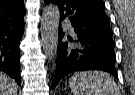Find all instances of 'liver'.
Masks as SVG:
<instances>
[{"label": "liver", "instance_id": "1", "mask_svg": "<svg viewBox=\"0 0 135 95\" xmlns=\"http://www.w3.org/2000/svg\"><path fill=\"white\" fill-rule=\"evenodd\" d=\"M16 82L5 73L0 72V95H17Z\"/></svg>", "mask_w": 135, "mask_h": 95}]
</instances>
